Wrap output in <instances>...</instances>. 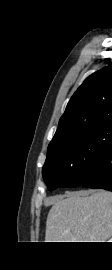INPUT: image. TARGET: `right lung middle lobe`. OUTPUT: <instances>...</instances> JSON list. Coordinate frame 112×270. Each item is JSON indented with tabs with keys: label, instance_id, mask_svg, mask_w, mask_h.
<instances>
[{
	"label": "right lung middle lobe",
	"instance_id": "obj_1",
	"mask_svg": "<svg viewBox=\"0 0 112 270\" xmlns=\"http://www.w3.org/2000/svg\"><path fill=\"white\" fill-rule=\"evenodd\" d=\"M112 144V122L48 148L42 169L49 190L80 185L93 161Z\"/></svg>",
	"mask_w": 112,
	"mask_h": 270
}]
</instances>
